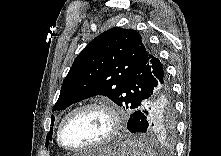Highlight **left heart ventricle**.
I'll return each instance as SVG.
<instances>
[{
	"label": "left heart ventricle",
	"mask_w": 221,
	"mask_h": 156,
	"mask_svg": "<svg viewBox=\"0 0 221 156\" xmlns=\"http://www.w3.org/2000/svg\"><path fill=\"white\" fill-rule=\"evenodd\" d=\"M108 114L96 108L75 114L65 125L64 143L70 147H85L101 140L110 129Z\"/></svg>",
	"instance_id": "b2bd125f"
}]
</instances>
